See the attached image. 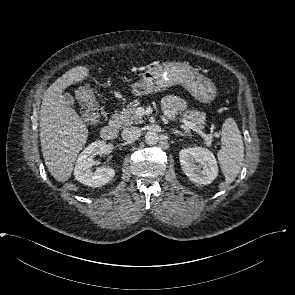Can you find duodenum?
<instances>
[{
  "mask_svg": "<svg viewBox=\"0 0 295 295\" xmlns=\"http://www.w3.org/2000/svg\"><path fill=\"white\" fill-rule=\"evenodd\" d=\"M118 128L116 123L108 124L101 130V136L103 139L111 141L117 137Z\"/></svg>",
  "mask_w": 295,
  "mask_h": 295,
  "instance_id": "duodenum-1",
  "label": "duodenum"
}]
</instances>
